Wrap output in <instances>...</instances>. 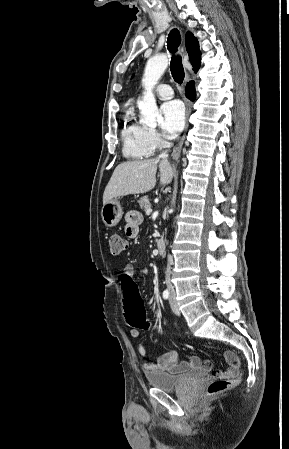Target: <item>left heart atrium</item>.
Wrapping results in <instances>:
<instances>
[{
	"mask_svg": "<svg viewBox=\"0 0 289 449\" xmlns=\"http://www.w3.org/2000/svg\"><path fill=\"white\" fill-rule=\"evenodd\" d=\"M161 129L168 137L177 135L185 124V109L178 100L167 101L160 107Z\"/></svg>",
	"mask_w": 289,
	"mask_h": 449,
	"instance_id": "39dd6f15",
	"label": "left heart atrium"
}]
</instances>
